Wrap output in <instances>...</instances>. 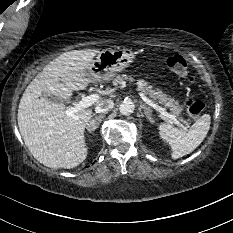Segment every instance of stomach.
Here are the masks:
<instances>
[{
  "instance_id": "stomach-1",
  "label": "stomach",
  "mask_w": 233,
  "mask_h": 233,
  "mask_svg": "<svg viewBox=\"0 0 233 233\" xmlns=\"http://www.w3.org/2000/svg\"><path fill=\"white\" fill-rule=\"evenodd\" d=\"M134 59L135 53L131 49H105L91 62L87 74L93 81L109 80L124 71Z\"/></svg>"
}]
</instances>
